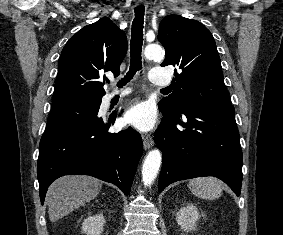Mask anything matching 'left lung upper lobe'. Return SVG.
<instances>
[{"instance_id": "left-lung-upper-lobe-1", "label": "left lung upper lobe", "mask_w": 283, "mask_h": 235, "mask_svg": "<svg viewBox=\"0 0 283 235\" xmlns=\"http://www.w3.org/2000/svg\"><path fill=\"white\" fill-rule=\"evenodd\" d=\"M158 40L166 51L161 66L179 69L174 73L173 92L158 103L160 110L175 115L192 106H232L214 38L204 25L168 15L159 25Z\"/></svg>"}]
</instances>
